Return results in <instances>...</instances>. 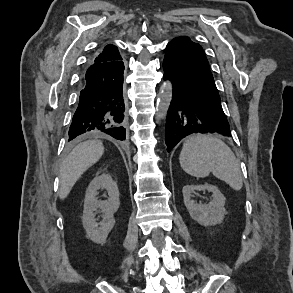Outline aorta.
Here are the masks:
<instances>
[{
  "label": "aorta",
  "instance_id": "762f6f07",
  "mask_svg": "<svg viewBox=\"0 0 293 293\" xmlns=\"http://www.w3.org/2000/svg\"><path fill=\"white\" fill-rule=\"evenodd\" d=\"M173 95V87L171 82H166L161 86L160 93L158 95L157 100V113L156 118L157 119H163L170 106V102L172 100Z\"/></svg>",
  "mask_w": 293,
  "mask_h": 293
}]
</instances>
